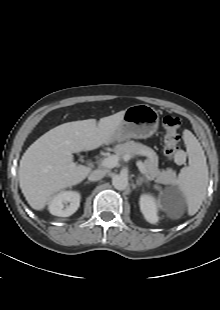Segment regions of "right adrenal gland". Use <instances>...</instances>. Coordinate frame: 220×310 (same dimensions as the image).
Segmentation results:
<instances>
[{
    "label": "right adrenal gland",
    "instance_id": "1",
    "mask_svg": "<svg viewBox=\"0 0 220 310\" xmlns=\"http://www.w3.org/2000/svg\"><path fill=\"white\" fill-rule=\"evenodd\" d=\"M90 182L89 181H87L85 184H89Z\"/></svg>",
    "mask_w": 220,
    "mask_h": 310
}]
</instances>
